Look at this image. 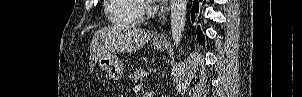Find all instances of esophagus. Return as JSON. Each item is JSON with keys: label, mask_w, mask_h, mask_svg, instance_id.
<instances>
[{"label": "esophagus", "mask_w": 302, "mask_h": 97, "mask_svg": "<svg viewBox=\"0 0 302 97\" xmlns=\"http://www.w3.org/2000/svg\"><path fill=\"white\" fill-rule=\"evenodd\" d=\"M168 12H169V7L166 5L159 13V21L162 26H164L167 21ZM155 40L159 41V42L164 41L165 37H164L163 33L162 32L158 33L155 37Z\"/></svg>", "instance_id": "34e87169"}]
</instances>
